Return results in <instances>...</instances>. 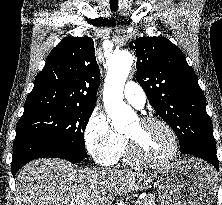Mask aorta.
Masks as SVG:
<instances>
[{
	"label": "aorta",
	"instance_id": "aorta-1",
	"mask_svg": "<svg viewBox=\"0 0 222 205\" xmlns=\"http://www.w3.org/2000/svg\"><path fill=\"white\" fill-rule=\"evenodd\" d=\"M133 58L127 51L115 52L108 60V72L104 83L103 101L111 125L118 132L127 129L135 112L123 101V90L131 70Z\"/></svg>",
	"mask_w": 222,
	"mask_h": 205
}]
</instances>
